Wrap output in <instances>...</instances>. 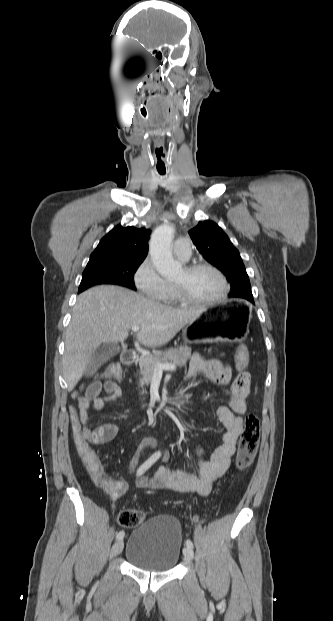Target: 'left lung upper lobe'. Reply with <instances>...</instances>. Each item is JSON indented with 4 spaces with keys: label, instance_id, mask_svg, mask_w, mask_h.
<instances>
[{
    "label": "left lung upper lobe",
    "instance_id": "1",
    "mask_svg": "<svg viewBox=\"0 0 333 621\" xmlns=\"http://www.w3.org/2000/svg\"><path fill=\"white\" fill-rule=\"evenodd\" d=\"M189 234L203 257L228 276L231 282L229 297L254 304L249 277L239 251L223 230L213 221L205 220L192 228Z\"/></svg>",
    "mask_w": 333,
    "mask_h": 621
}]
</instances>
